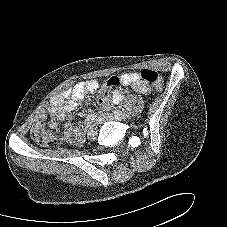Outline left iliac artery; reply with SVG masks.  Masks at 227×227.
I'll return each mask as SVG.
<instances>
[{
    "instance_id": "1",
    "label": "left iliac artery",
    "mask_w": 227,
    "mask_h": 227,
    "mask_svg": "<svg viewBox=\"0 0 227 227\" xmlns=\"http://www.w3.org/2000/svg\"><path fill=\"white\" fill-rule=\"evenodd\" d=\"M114 114H117V115L125 114V115H127V111H126V109L122 108L121 110L114 111Z\"/></svg>"
}]
</instances>
